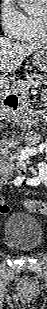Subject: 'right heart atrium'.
Wrapping results in <instances>:
<instances>
[{
  "label": "right heart atrium",
  "mask_w": 47,
  "mask_h": 309,
  "mask_svg": "<svg viewBox=\"0 0 47 309\" xmlns=\"http://www.w3.org/2000/svg\"><path fill=\"white\" fill-rule=\"evenodd\" d=\"M0 22L2 29L10 38L18 39L24 28V15L14 0L0 1Z\"/></svg>",
  "instance_id": "obj_1"
}]
</instances>
